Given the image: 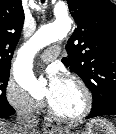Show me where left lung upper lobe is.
I'll return each instance as SVG.
<instances>
[{
  "instance_id": "5c2ea615",
  "label": "left lung upper lobe",
  "mask_w": 116,
  "mask_h": 134,
  "mask_svg": "<svg viewBox=\"0 0 116 134\" xmlns=\"http://www.w3.org/2000/svg\"><path fill=\"white\" fill-rule=\"evenodd\" d=\"M77 23L66 44L65 66L89 88L92 106L116 104V5L110 0H67Z\"/></svg>"
}]
</instances>
